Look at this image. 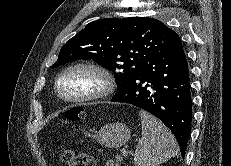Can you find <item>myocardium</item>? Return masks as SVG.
<instances>
[{
    "instance_id": "1",
    "label": "myocardium",
    "mask_w": 231,
    "mask_h": 166,
    "mask_svg": "<svg viewBox=\"0 0 231 166\" xmlns=\"http://www.w3.org/2000/svg\"><path fill=\"white\" fill-rule=\"evenodd\" d=\"M74 70H87L95 75L100 80V86L95 91L80 95V96H65L61 93L59 83L60 80L69 72ZM54 89L57 97L62 101L69 103H87L94 102L101 99H105L109 97L115 90V78L111 71L107 69L105 66L93 62V61H80L72 63L65 68H63L56 76L54 82Z\"/></svg>"
}]
</instances>
